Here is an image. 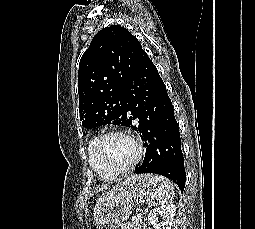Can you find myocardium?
Listing matches in <instances>:
<instances>
[{"label": "myocardium", "instance_id": "1", "mask_svg": "<svg viewBox=\"0 0 255 229\" xmlns=\"http://www.w3.org/2000/svg\"><path fill=\"white\" fill-rule=\"evenodd\" d=\"M111 136L126 137V138L130 139L133 142V144L135 145L136 154H135V157L133 158V160L129 164H126V165L120 166V167H115V166L107 163L104 160V158L101 154V149L100 148H101L102 143L108 137H111ZM142 152H143V148H142L141 141L136 136H134L133 134H131L127 131H123V130H110V131H107V132H104V133L100 134L96 138L94 146H93V153H94L95 157L98 159V161L103 165V167L106 170L110 171L111 173H116L118 175L120 173L132 170L137 165V163L140 161V159L142 157Z\"/></svg>", "mask_w": 255, "mask_h": 229}]
</instances>
